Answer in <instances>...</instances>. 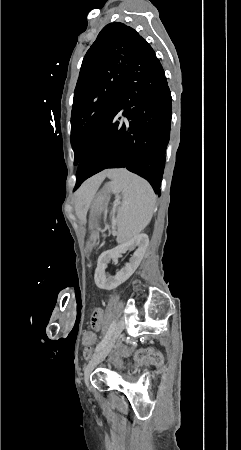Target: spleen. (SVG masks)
Instances as JSON below:
<instances>
[{
  "instance_id": "1",
  "label": "spleen",
  "mask_w": 241,
  "mask_h": 450,
  "mask_svg": "<svg viewBox=\"0 0 241 450\" xmlns=\"http://www.w3.org/2000/svg\"><path fill=\"white\" fill-rule=\"evenodd\" d=\"M106 184L112 194L124 192L122 206L118 212L117 242L124 244L140 234L151 222L156 204V196L148 182L131 174L128 170H110Z\"/></svg>"
}]
</instances>
